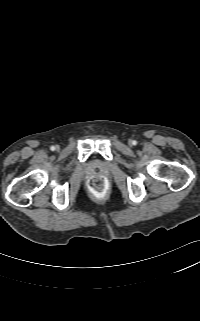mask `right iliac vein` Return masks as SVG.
<instances>
[{
	"mask_svg": "<svg viewBox=\"0 0 200 321\" xmlns=\"http://www.w3.org/2000/svg\"><path fill=\"white\" fill-rule=\"evenodd\" d=\"M56 149H59V147H58V146H56Z\"/></svg>",
	"mask_w": 200,
	"mask_h": 321,
	"instance_id": "obj_1",
	"label": "right iliac vein"
}]
</instances>
